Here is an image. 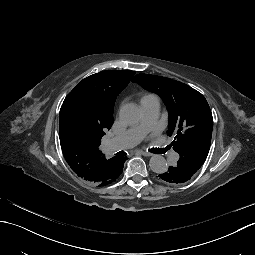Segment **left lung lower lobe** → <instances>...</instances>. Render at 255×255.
<instances>
[{
	"instance_id": "left-lung-lower-lobe-1",
	"label": "left lung lower lobe",
	"mask_w": 255,
	"mask_h": 255,
	"mask_svg": "<svg viewBox=\"0 0 255 255\" xmlns=\"http://www.w3.org/2000/svg\"><path fill=\"white\" fill-rule=\"evenodd\" d=\"M166 171L161 172L159 175V178L163 180L166 184H175L178 183H185L186 181H189L191 179L190 174L183 171L182 168L179 167V165H168L166 167Z\"/></svg>"
}]
</instances>
